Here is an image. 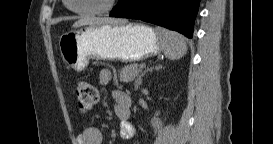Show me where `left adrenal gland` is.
<instances>
[{
  "mask_svg": "<svg viewBox=\"0 0 273 144\" xmlns=\"http://www.w3.org/2000/svg\"><path fill=\"white\" fill-rule=\"evenodd\" d=\"M162 68V65H157L155 67H151V68H147L135 81V90H138L139 86L141 85L142 83V77L148 72V71H153L154 69L155 70H159Z\"/></svg>",
  "mask_w": 273,
  "mask_h": 144,
  "instance_id": "a2214340",
  "label": "left adrenal gland"
}]
</instances>
